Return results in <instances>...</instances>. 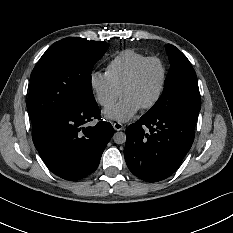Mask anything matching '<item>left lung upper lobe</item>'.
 I'll return each mask as SVG.
<instances>
[{"mask_svg": "<svg viewBox=\"0 0 233 233\" xmlns=\"http://www.w3.org/2000/svg\"><path fill=\"white\" fill-rule=\"evenodd\" d=\"M171 67L167 74L164 90L145 117L189 115L197 117L201 108L196 73L187 59L175 46L166 45Z\"/></svg>", "mask_w": 233, "mask_h": 233, "instance_id": "5c2ea615", "label": "left lung upper lobe"}]
</instances>
